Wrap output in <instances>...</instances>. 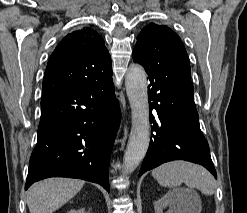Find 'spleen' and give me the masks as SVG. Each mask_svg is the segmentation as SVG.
<instances>
[{"label":"spleen","instance_id":"spleen-1","mask_svg":"<svg viewBox=\"0 0 247 213\" xmlns=\"http://www.w3.org/2000/svg\"><path fill=\"white\" fill-rule=\"evenodd\" d=\"M152 176L163 187L177 188L185 183L197 188L205 195H213L216 190L215 179L202 166L185 161H172L155 168Z\"/></svg>","mask_w":247,"mask_h":213}]
</instances>
